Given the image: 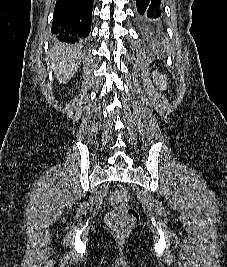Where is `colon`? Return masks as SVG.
<instances>
[{"label": "colon", "instance_id": "1", "mask_svg": "<svg viewBox=\"0 0 227 267\" xmlns=\"http://www.w3.org/2000/svg\"><path fill=\"white\" fill-rule=\"evenodd\" d=\"M128 199L125 188L116 189L110 197L113 209L105 217L106 229L119 240L127 237L139 220L137 210L126 206Z\"/></svg>", "mask_w": 227, "mask_h": 267}]
</instances>
